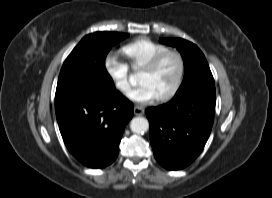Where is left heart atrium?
Returning <instances> with one entry per match:
<instances>
[{
  "label": "left heart atrium",
  "mask_w": 272,
  "mask_h": 198,
  "mask_svg": "<svg viewBox=\"0 0 272 198\" xmlns=\"http://www.w3.org/2000/svg\"><path fill=\"white\" fill-rule=\"evenodd\" d=\"M126 96L133 102L138 104H149L157 99L154 90L148 84H140L135 88L130 89Z\"/></svg>",
  "instance_id": "39dd6f15"
}]
</instances>
